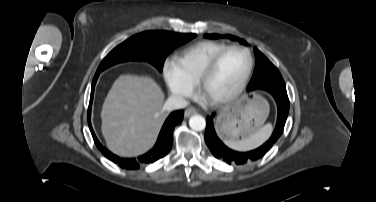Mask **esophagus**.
Wrapping results in <instances>:
<instances>
[{
  "instance_id": "obj_1",
  "label": "esophagus",
  "mask_w": 376,
  "mask_h": 202,
  "mask_svg": "<svg viewBox=\"0 0 376 202\" xmlns=\"http://www.w3.org/2000/svg\"><path fill=\"white\" fill-rule=\"evenodd\" d=\"M197 113V110L194 108V107H188L186 110H185V117H190L191 115H194Z\"/></svg>"
}]
</instances>
